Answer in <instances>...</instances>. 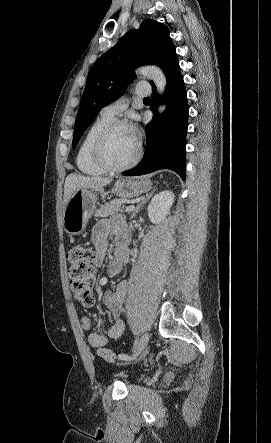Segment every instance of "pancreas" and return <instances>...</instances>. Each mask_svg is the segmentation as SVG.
<instances>
[{
  "instance_id": "pancreas-1",
  "label": "pancreas",
  "mask_w": 271,
  "mask_h": 443,
  "mask_svg": "<svg viewBox=\"0 0 271 443\" xmlns=\"http://www.w3.org/2000/svg\"><path fill=\"white\" fill-rule=\"evenodd\" d=\"M123 204L124 202H121V200H112V202H109V204H105V206H100L99 210H96L94 216L95 218H104V216H115V214H118V212H122L121 206H123Z\"/></svg>"
}]
</instances>
